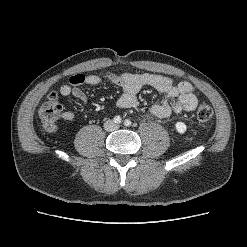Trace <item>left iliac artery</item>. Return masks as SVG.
<instances>
[{"instance_id": "obj_1", "label": "left iliac artery", "mask_w": 247, "mask_h": 247, "mask_svg": "<svg viewBox=\"0 0 247 247\" xmlns=\"http://www.w3.org/2000/svg\"><path fill=\"white\" fill-rule=\"evenodd\" d=\"M124 125H125V126H130V125H131V121H130L129 119H126V120L124 121Z\"/></svg>"}]
</instances>
